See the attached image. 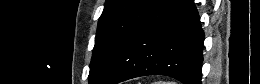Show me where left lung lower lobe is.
<instances>
[{"instance_id":"1","label":"left lung lower lobe","mask_w":260,"mask_h":84,"mask_svg":"<svg viewBox=\"0 0 260 84\" xmlns=\"http://www.w3.org/2000/svg\"><path fill=\"white\" fill-rule=\"evenodd\" d=\"M204 33L193 0H158L102 84L166 75L201 84Z\"/></svg>"}]
</instances>
